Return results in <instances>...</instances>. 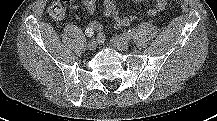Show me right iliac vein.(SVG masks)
<instances>
[{"label": "right iliac vein", "instance_id": "right-iliac-vein-1", "mask_svg": "<svg viewBox=\"0 0 217 121\" xmlns=\"http://www.w3.org/2000/svg\"><path fill=\"white\" fill-rule=\"evenodd\" d=\"M97 47V41L95 40H91L88 45H87V48L90 50V51H94Z\"/></svg>", "mask_w": 217, "mask_h": 121}]
</instances>
